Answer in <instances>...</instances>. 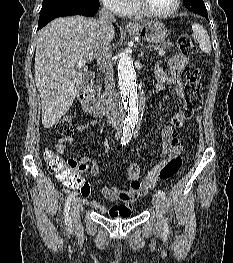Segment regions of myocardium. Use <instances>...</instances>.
<instances>
[{
  "mask_svg": "<svg viewBox=\"0 0 233 263\" xmlns=\"http://www.w3.org/2000/svg\"><path fill=\"white\" fill-rule=\"evenodd\" d=\"M181 1L182 0H175V4L173 8L163 13L153 12L145 5L143 0H133V3H134L135 8L138 10L140 14L146 17H150V18L162 19V18L170 17L173 14H175L180 8Z\"/></svg>",
  "mask_w": 233,
  "mask_h": 263,
  "instance_id": "myocardium-1",
  "label": "myocardium"
}]
</instances>
